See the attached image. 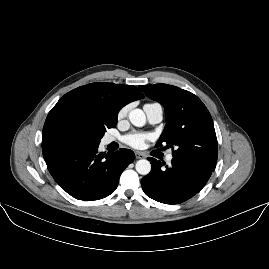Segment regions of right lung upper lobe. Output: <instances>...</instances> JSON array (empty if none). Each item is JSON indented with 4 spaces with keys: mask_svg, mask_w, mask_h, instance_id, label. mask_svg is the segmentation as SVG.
<instances>
[{
    "mask_svg": "<svg viewBox=\"0 0 269 269\" xmlns=\"http://www.w3.org/2000/svg\"><path fill=\"white\" fill-rule=\"evenodd\" d=\"M144 95L135 86L113 83H91L66 93L49 112L42 133V141L58 138L54 124L65 114L101 115L117 118L126 104L142 99Z\"/></svg>",
    "mask_w": 269,
    "mask_h": 269,
    "instance_id": "right-lung-upper-lobe-1",
    "label": "right lung upper lobe"
}]
</instances>
